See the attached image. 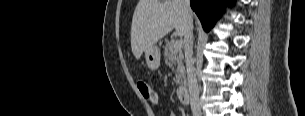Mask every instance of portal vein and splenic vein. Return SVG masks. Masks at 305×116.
I'll list each match as a JSON object with an SVG mask.
<instances>
[{
	"label": "portal vein and splenic vein",
	"instance_id": "18ae733b",
	"mask_svg": "<svg viewBox=\"0 0 305 116\" xmlns=\"http://www.w3.org/2000/svg\"><path fill=\"white\" fill-rule=\"evenodd\" d=\"M173 48L175 50L181 49L182 48V42L181 41H175L174 45H173Z\"/></svg>",
	"mask_w": 305,
	"mask_h": 116
}]
</instances>
